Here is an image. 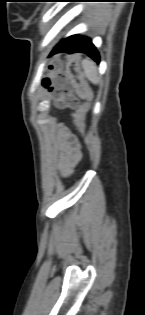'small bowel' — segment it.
Wrapping results in <instances>:
<instances>
[{"instance_id": "c3829d8e", "label": "small bowel", "mask_w": 145, "mask_h": 315, "mask_svg": "<svg viewBox=\"0 0 145 315\" xmlns=\"http://www.w3.org/2000/svg\"><path fill=\"white\" fill-rule=\"evenodd\" d=\"M59 136L63 143V157L60 169L64 175H69L81 158V151L77 139L66 127L59 129Z\"/></svg>"}]
</instances>
